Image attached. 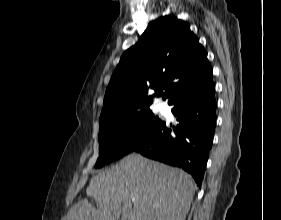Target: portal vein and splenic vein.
<instances>
[{
  "label": "portal vein and splenic vein",
  "mask_w": 281,
  "mask_h": 220,
  "mask_svg": "<svg viewBox=\"0 0 281 220\" xmlns=\"http://www.w3.org/2000/svg\"><path fill=\"white\" fill-rule=\"evenodd\" d=\"M132 201L134 202V201H135V199L133 198V199H132Z\"/></svg>",
  "instance_id": "1"
}]
</instances>
